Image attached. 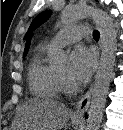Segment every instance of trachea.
<instances>
[{"label":"trachea","instance_id":"trachea-1","mask_svg":"<svg viewBox=\"0 0 123 130\" xmlns=\"http://www.w3.org/2000/svg\"><path fill=\"white\" fill-rule=\"evenodd\" d=\"M99 37H100L99 32H98V31H94V32H93V38H94L95 40H99Z\"/></svg>","mask_w":123,"mask_h":130}]
</instances>
